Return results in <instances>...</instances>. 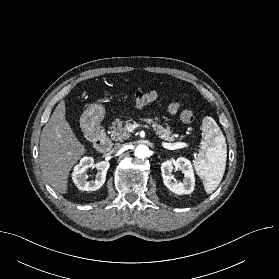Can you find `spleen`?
<instances>
[{
  "label": "spleen",
  "instance_id": "3e777b00",
  "mask_svg": "<svg viewBox=\"0 0 279 279\" xmlns=\"http://www.w3.org/2000/svg\"><path fill=\"white\" fill-rule=\"evenodd\" d=\"M202 142L194 166L197 174L203 180L204 189L211 194L220 184L227 160V145L225 137L212 117L202 121Z\"/></svg>",
  "mask_w": 279,
  "mask_h": 279
}]
</instances>
